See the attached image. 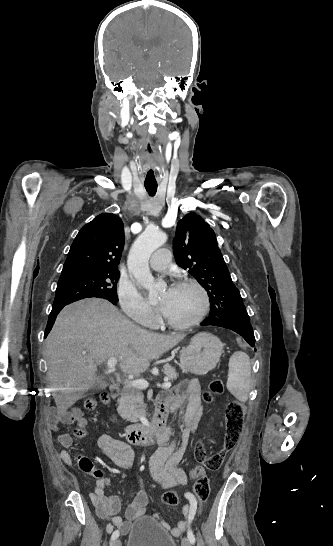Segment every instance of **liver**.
Instances as JSON below:
<instances>
[{
	"label": "liver",
	"mask_w": 333,
	"mask_h": 546,
	"mask_svg": "<svg viewBox=\"0 0 333 546\" xmlns=\"http://www.w3.org/2000/svg\"><path fill=\"white\" fill-rule=\"evenodd\" d=\"M185 336L158 335L142 329L103 299L67 305L45 343L47 375L58 413L64 414L93 386L97 366L110 357L119 360L123 372L138 375Z\"/></svg>",
	"instance_id": "obj_1"
}]
</instances>
